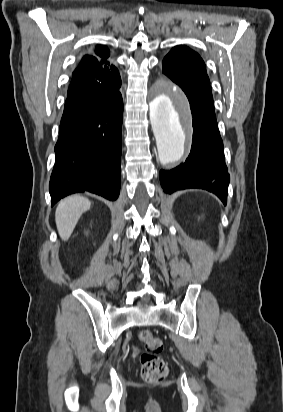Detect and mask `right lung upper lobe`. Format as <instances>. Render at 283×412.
Returning a JSON list of instances; mask_svg holds the SVG:
<instances>
[{
	"label": "right lung upper lobe",
	"instance_id": "right-lung-upper-lobe-1",
	"mask_svg": "<svg viewBox=\"0 0 283 412\" xmlns=\"http://www.w3.org/2000/svg\"><path fill=\"white\" fill-rule=\"evenodd\" d=\"M95 55H86L82 58L79 66L73 72L68 94L94 80L108 84L121 79L118 69L108 59L109 51L107 48L97 46Z\"/></svg>",
	"mask_w": 283,
	"mask_h": 412
}]
</instances>
